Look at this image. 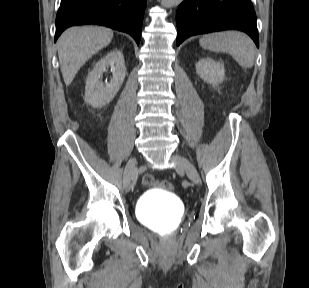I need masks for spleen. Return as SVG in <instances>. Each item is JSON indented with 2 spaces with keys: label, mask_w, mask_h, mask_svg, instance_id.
Listing matches in <instances>:
<instances>
[{
  "label": "spleen",
  "mask_w": 309,
  "mask_h": 288,
  "mask_svg": "<svg viewBox=\"0 0 309 288\" xmlns=\"http://www.w3.org/2000/svg\"><path fill=\"white\" fill-rule=\"evenodd\" d=\"M199 44L215 52L229 53L243 68L254 65L255 48L252 40L238 31H222L204 35Z\"/></svg>",
  "instance_id": "spleen-1"
}]
</instances>
